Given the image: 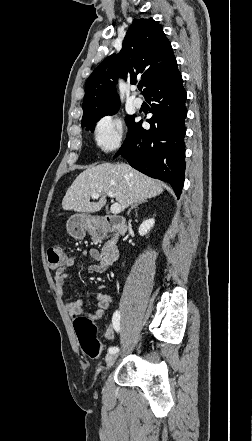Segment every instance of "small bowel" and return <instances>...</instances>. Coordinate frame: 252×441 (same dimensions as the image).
<instances>
[{"label":"small bowel","mask_w":252,"mask_h":441,"mask_svg":"<svg viewBox=\"0 0 252 441\" xmlns=\"http://www.w3.org/2000/svg\"><path fill=\"white\" fill-rule=\"evenodd\" d=\"M80 255H89L93 260L92 263L88 266L89 271L95 273H103L107 267L102 262L101 256L96 249H90L88 251H82L80 254H73L67 258L64 265L59 267L56 270V274L54 276V284L55 288L60 297L65 298L75 293L74 290L67 287V283L71 282V277L65 273V270L74 265ZM113 301V297L110 294L98 293L95 297V304L97 308L91 312H85L84 306L85 301L83 299H76L67 304V309L71 318L74 320L81 315L91 319V320H99L102 319L106 313V311L110 308ZM114 327L113 324L109 325L106 332L104 333L105 339H111L114 335Z\"/></svg>","instance_id":"1"}]
</instances>
